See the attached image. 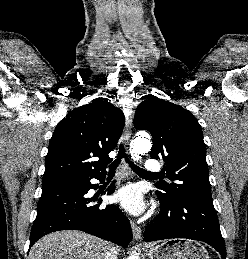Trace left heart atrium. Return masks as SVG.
<instances>
[{
	"label": "left heart atrium",
	"mask_w": 248,
	"mask_h": 259,
	"mask_svg": "<svg viewBox=\"0 0 248 259\" xmlns=\"http://www.w3.org/2000/svg\"><path fill=\"white\" fill-rule=\"evenodd\" d=\"M114 201L132 214H140L145 208L142 193L135 185L120 188L114 195Z\"/></svg>",
	"instance_id": "1"
}]
</instances>
